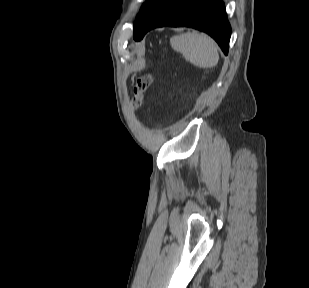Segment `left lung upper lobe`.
<instances>
[{"instance_id":"left-lung-upper-lobe-1","label":"left lung upper lobe","mask_w":309,"mask_h":288,"mask_svg":"<svg viewBox=\"0 0 309 288\" xmlns=\"http://www.w3.org/2000/svg\"><path fill=\"white\" fill-rule=\"evenodd\" d=\"M159 2V0H148L146 3H144L141 11L137 15V18L135 20L134 26H133V35L138 32L140 29L142 23L148 16V14L151 12L153 7Z\"/></svg>"}]
</instances>
